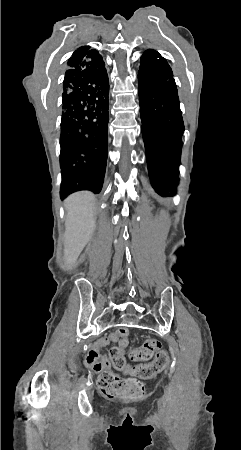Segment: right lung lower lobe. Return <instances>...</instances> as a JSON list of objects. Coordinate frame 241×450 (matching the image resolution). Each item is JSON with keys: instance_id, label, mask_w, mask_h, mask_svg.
<instances>
[{"instance_id": "1", "label": "right lung lower lobe", "mask_w": 241, "mask_h": 450, "mask_svg": "<svg viewBox=\"0 0 241 450\" xmlns=\"http://www.w3.org/2000/svg\"><path fill=\"white\" fill-rule=\"evenodd\" d=\"M109 80L104 61L68 69L62 94L61 198L101 191L107 162Z\"/></svg>"}]
</instances>
